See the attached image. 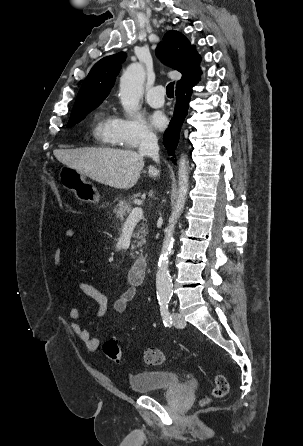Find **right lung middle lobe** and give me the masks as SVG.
Returning a JSON list of instances; mask_svg holds the SVG:
<instances>
[{
    "mask_svg": "<svg viewBox=\"0 0 303 446\" xmlns=\"http://www.w3.org/2000/svg\"><path fill=\"white\" fill-rule=\"evenodd\" d=\"M97 106H90L84 109H80V110H76L74 112H72L69 122L67 124V127H72L73 125H75L76 123H78L79 121H81L85 115L87 113H89L90 111H92L93 109H95Z\"/></svg>",
    "mask_w": 303,
    "mask_h": 446,
    "instance_id": "1",
    "label": "right lung middle lobe"
}]
</instances>
